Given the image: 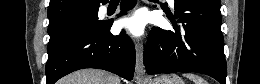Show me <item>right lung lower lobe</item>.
<instances>
[{
    "mask_svg": "<svg viewBox=\"0 0 260 84\" xmlns=\"http://www.w3.org/2000/svg\"><path fill=\"white\" fill-rule=\"evenodd\" d=\"M136 0H123L122 11L131 9ZM110 24L95 34L77 36L65 43L46 63V84L84 68L104 69L127 80L133 79L135 48L124 31L114 36Z\"/></svg>",
    "mask_w": 260,
    "mask_h": 84,
    "instance_id": "right-lung-lower-lobe-1",
    "label": "right lung lower lobe"
}]
</instances>
